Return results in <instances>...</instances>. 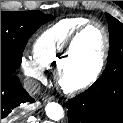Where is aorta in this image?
Segmentation results:
<instances>
[{
	"mask_svg": "<svg viewBox=\"0 0 123 123\" xmlns=\"http://www.w3.org/2000/svg\"><path fill=\"white\" fill-rule=\"evenodd\" d=\"M45 111L48 118L54 121H58L64 116L62 106L56 102H49L45 107Z\"/></svg>",
	"mask_w": 123,
	"mask_h": 123,
	"instance_id": "762f6f07",
	"label": "aorta"
}]
</instances>
